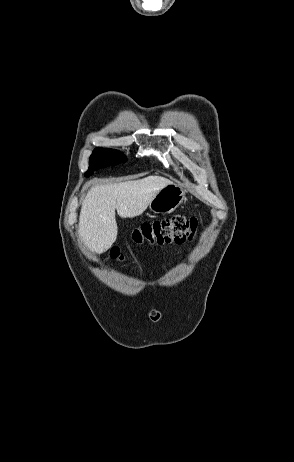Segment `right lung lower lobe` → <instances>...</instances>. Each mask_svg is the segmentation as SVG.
<instances>
[{
    "label": "right lung lower lobe",
    "mask_w": 294,
    "mask_h": 462,
    "mask_svg": "<svg viewBox=\"0 0 294 462\" xmlns=\"http://www.w3.org/2000/svg\"><path fill=\"white\" fill-rule=\"evenodd\" d=\"M116 164L118 163L106 156L98 155V156L90 157L89 170L85 173V176L86 177L90 176L95 170L101 167H107L110 165L114 166Z\"/></svg>",
    "instance_id": "right-lung-lower-lobe-1"
}]
</instances>
